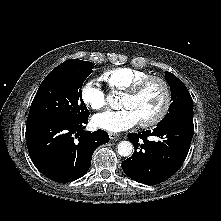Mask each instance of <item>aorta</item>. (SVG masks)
I'll use <instances>...</instances> for the list:
<instances>
[{
  "label": "aorta",
  "mask_w": 221,
  "mask_h": 221,
  "mask_svg": "<svg viewBox=\"0 0 221 221\" xmlns=\"http://www.w3.org/2000/svg\"><path fill=\"white\" fill-rule=\"evenodd\" d=\"M107 102L112 108H115L117 105V96H115L114 94L109 95L107 97ZM117 151L120 156H130L133 151V145L130 141H121L117 146Z\"/></svg>",
  "instance_id": "1"
}]
</instances>
